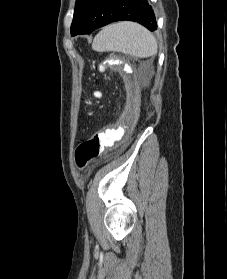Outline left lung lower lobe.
Instances as JSON below:
<instances>
[{
	"mask_svg": "<svg viewBox=\"0 0 227 279\" xmlns=\"http://www.w3.org/2000/svg\"><path fill=\"white\" fill-rule=\"evenodd\" d=\"M119 20L138 22L150 31L157 29L155 15L147 0H93L81 29L72 36L90 34Z\"/></svg>",
	"mask_w": 227,
	"mask_h": 279,
	"instance_id": "obj_1",
	"label": "left lung lower lobe"
}]
</instances>
